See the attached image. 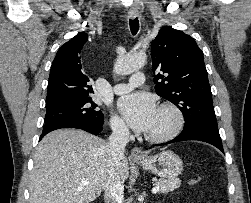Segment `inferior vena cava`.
Instances as JSON below:
<instances>
[{"instance_id":"obj_1","label":"inferior vena cava","mask_w":251,"mask_h":203,"mask_svg":"<svg viewBox=\"0 0 251 203\" xmlns=\"http://www.w3.org/2000/svg\"><path fill=\"white\" fill-rule=\"evenodd\" d=\"M111 128L112 134L109 137L107 150L111 157L113 172L104 183V200L105 203H122L124 181L120 176V165L126 144L129 142V129L123 122H115Z\"/></svg>"}]
</instances>
